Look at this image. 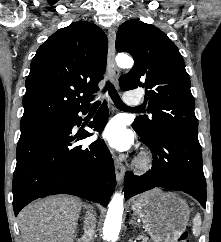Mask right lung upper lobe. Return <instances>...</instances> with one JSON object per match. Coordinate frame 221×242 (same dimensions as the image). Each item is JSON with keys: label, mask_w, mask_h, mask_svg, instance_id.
I'll return each mask as SVG.
<instances>
[{"label": "right lung upper lobe", "mask_w": 221, "mask_h": 242, "mask_svg": "<svg viewBox=\"0 0 221 242\" xmlns=\"http://www.w3.org/2000/svg\"><path fill=\"white\" fill-rule=\"evenodd\" d=\"M107 48L105 33L86 21L50 36L30 65L21 125L88 106L103 79Z\"/></svg>", "instance_id": "cb5924a9"}]
</instances>
